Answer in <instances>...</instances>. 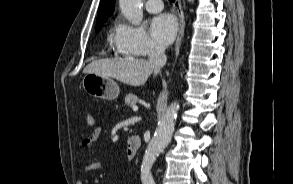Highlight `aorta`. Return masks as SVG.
<instances>
[{"mask_svg":"<svg viewBox=\"0 0 293 184\" xmlns=\"http://www.w3.org/2000/svg\"><path fill=\"white\" fill-rule=\"evenodd\" d=\"M119 6L124 17L132 25H139L141 23L143 18L141 0H119ZM178 110L179 104L176 102L172 103L158 123L155 134L148 144L143 157L141 165L142 184H155L151 168L158 155L171 141Z\"/></svg>","mask_w":293,"mask_h":184,"instance_id":"obj_1","label":"aorta"}]
</instances>
